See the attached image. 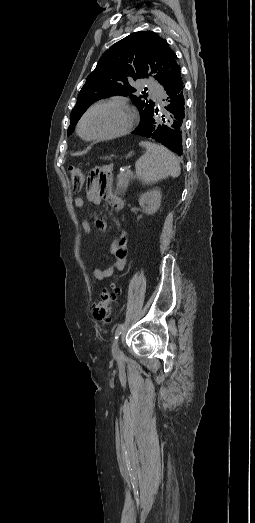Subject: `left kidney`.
Masks as SVG:
<instances>
[{"mask_svg": "<svg viewBox=\"0 0 255 523\" xmlns=\"http://www.w3.org/2000/svg\"><path fill=\"white\" fill-rule=\"evenodd\" d=\"M162 194L158 188L145 192L139 198V204L146 214H155L160 208Z\"/></svg>", "mask_w": 255, "mask_h": 523, "instance_id": "obj_1", "label": "left kidney"}]
</instances>
